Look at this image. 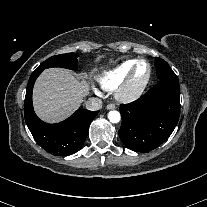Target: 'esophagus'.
<instances>
[{
	"mask_svg": "<svg viewBox=\"0 0 207 207\" xmlns=\"http://www.w3.org/2000/svg\"><path fill=\"white\" fill-rule=\"evenodd\" d=\"M106 108H107L108 110H113V109H115V105H114V104H108V105L106 106Z\"/></svg>",
	"mask_w": 207,
	"mask_h": 207,
	"instance_id": "34e87169",
	"label": "esophagus"
}]
</instances>
